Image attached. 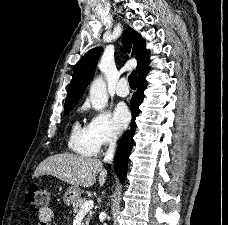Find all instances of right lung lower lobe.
I'll list each match as a JSON object with an SVG mask.
<instances>
[{
  "mask_svg": "<svg viewBox=\"0 0 228 225\" xmlns=\"http://www.w3.org/2000/svg\"><path fill=\"white\" fill-rule=\"evenodd\" d=\"M149 71V63L141 68L138 73V83L137 91L134 93L131 99V112H132V123L131 129L124 133L122 136L119 145L117 147V152L114 160V170L119 177L121 183L124 182L126 177L128 157L133 144V136L136 129L135 119L138 116L140 110L139 106L144 98V90L147 86V81L145 77Z\"/></svg>",
  "mask_w": 228,
  "mask_h": 225,
  "instance_id": "obj_1",
  "label": "right lung lower lobe"
}]
</instances>
